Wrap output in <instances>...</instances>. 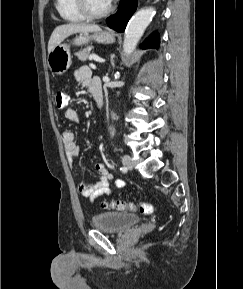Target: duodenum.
<instances>
[{
  "instance_id": "obj_1",
  "label": "duodenum",
  "mask_w": 243,
  "mask_h": 289,
  "mask_svg": "<svg viewBox=\"0 0 243 289\" xmlns=\"http://www.w3.org/2000/svg\"><path fill=\"white\" fill-rule=\"evenodd\" d=\"M95 106L98 110L103 108V95L101 87L94 88L92 91Z\"/></svg>"
}]
</instances>
